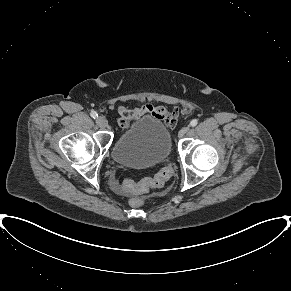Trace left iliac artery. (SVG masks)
I'll return each mask as SVG.
<instances>
[{
    "instance_id": "left-iliac-artery-1",
    "label": "left iliac artery",
    "mask_w": 291,
    "mask_h": 291,
    "mask_svg": "<svg viewBox=\"0 0 291 291\" xmlns=\"http://www.w3.org/2000/svg\"><path fill=\"white\" fill-rule=\"evenodd\" d=\"M198 124V120L197 119H193L191 122H190V126L191 127H194Z\"/></svg>"
}]
</instances>
